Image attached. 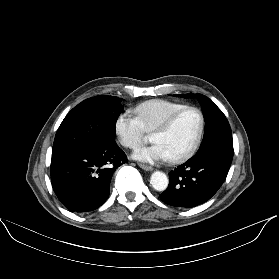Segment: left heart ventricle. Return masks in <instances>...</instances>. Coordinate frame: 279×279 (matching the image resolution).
Masks as SVG:
<instances>
[{"mask_svg":"<svg viewBox=\"0 0 279 279\" xmlns=\"http://www.w3.org/2000/svg\"><path fill=\"white\" fill-rule=\"evenodd\" d=\"M199 126V119L194 111L180 114L170 129L162 134H153L151 140L161 144L169 158L181 155L192 144Z\"/></svg>","mask_w":279,"mask_h":279,"instance_id":"obj_1","label":"left heart ventricle"}]
</instances>
